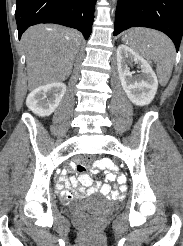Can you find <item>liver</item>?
Returning <instances> with one entry per match:
<instances>
[{"instance_id":"1","label":"liver","mask_w":183,"mask_h":246,"mask_svg":"<svg viewBox=\"0 0 183 246\" xmlns=\"http://www.w3.org/2000/svg\"><path fill=\"white\" fill-rule=\"evenodd\" d=\"M82 36L57 25H36L22 36L26 53L28 89L61 82L71 74Z\"/></svg>"}]
</instances>
